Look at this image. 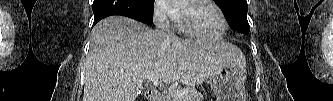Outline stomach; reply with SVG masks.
Wrapping results in <instances>:
<instances>
[{"mask_svg": "<svg viewBox=\"0 0 333 101\" xmlns=\"http://www.w3.org/2000/svg\"><path fill=\"white\" fill-rule=\"evenodd\" d=\"M236 61L222 66L208 83L216 95L217 101H246L244 83L246 79V61L238 49Z\"/></svg>", "mask_w": 333, "mask_h": 101, "instance_id": "1", "label": "stomach"}]
</instances>
